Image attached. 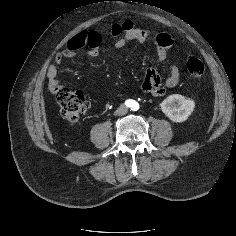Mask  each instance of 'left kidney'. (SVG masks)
Returning a JSON list of instances; mask_svg holds the SVG:
<instances>
[{"label": "left kidney", "mask_w": 236, "mask_h": 236, "mask_svg": "<svg viewBox=\"0 0 236 236\" xmlns=\"http://www.w3.org/2000/svg\"><path fill=\"white\" fill-rule=\"evenodd\" d=\"M162 112L173 122H184L188 119L195 108L192 99L179 94L168 96L160 104Z\"/></svg>", "instance_id": "5707ae66"}]
</instances>
